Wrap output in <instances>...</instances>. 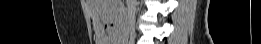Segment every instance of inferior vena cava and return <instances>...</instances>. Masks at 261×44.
<instances>
[{
  "instance_id": "inferior-vena-cava-1",
  "label": "inferior vena cava",
  "mask_w": 261,
  "mask_h": 44,
  "mask_svg": "<svg viewBox=\"0 0 261 44\" xmlns=\"http://www.w3.org/2000/svg\"><path fill=\"white\" fill-rule=\"evenodd\" d=\"M135 1V0H133ZM135 12L136 9L133 6H129L127 9V18L129 21V27H130V31L133 29V24H134V19H135Z\"/></svg>"
}]
</instances>
